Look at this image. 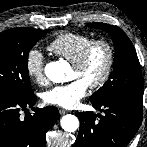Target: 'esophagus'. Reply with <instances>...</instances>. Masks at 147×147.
<instances>
[{"label":"esophagus","mask_w":147,"mask_h":147,"mask_svg":"<svg viewBox=\"0 0 147 147\" xmlns=\"http://www.w3.org/2000/svg\"><path fill=\"white\" fill-rule=\"evenodd\" d=\"M68 111L67 110H65V109H59V113L61 114V115H64V114H66Z\"/></svg>","instance_id":"34e87169"}]
</instances>
